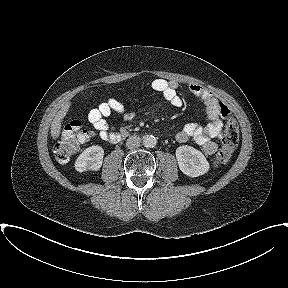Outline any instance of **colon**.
<instances>
[{
    "label": "colon",
    "mask_w": 288,
    "mask_h": 288,
    "mask_svg": "<svg viewBox=\"0 0 288 288\" xmlns=\"http://www.w3.org/2000/svg\"><path fill=\"white\" fill-rule=\"evenodd\" d=\"M226 125L222 138V146L213 159V164L219 166L227 163L239 143V127L238 123L229 112L225 115ZM88 132L82 126L80 121L74 120L68 123L58 139L54 152L58 161L67 162L77 151L79 145L90 138Z\"/></svg>",
    "instance_id": "obj_1"
}]
</instances>
